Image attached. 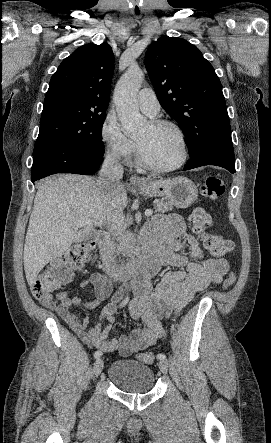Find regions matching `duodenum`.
I'll list each match as a JSON object with an SVG mask.
<instances>
[{"instance_id": "1", "label": "duodenum", "mask_w": 271, "mask_h": 443, "mask_svg": "<svg viewBox=\"0 0 271 443\" xmlns=\"http://www.w3.org/2000/svg\"><path fill=\"white\" fill-rule=\"evenodd\" d=\"M95 241L101 250L102 268L106 274L112 277L126 278L139 277L144 273L145 258L135 257L124 264H119L111 249V238L106 232H99Z\"/></svg>"}]
</instances>
